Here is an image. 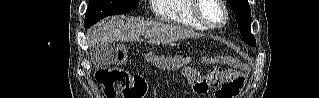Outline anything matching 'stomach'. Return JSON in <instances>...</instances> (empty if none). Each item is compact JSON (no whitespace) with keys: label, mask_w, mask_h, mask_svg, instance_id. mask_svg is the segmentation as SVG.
<instances>
[{"label":"stomach","mask_w":319,"mask_h":98,"mask_svg":"<svg viewBox=\"0 0 319 98\" xmlns=\"http://www.w3.org/2000/svg\"><path fill=\"white\" fill-rule=\"evenodd\" d=\"M184 75L187 77L188 82L192 86V92L198 94L197 91H199L200 84H198L199 82L196 76H193L188 70L185 71Z\"/></svg>","instance_id":"0dacf381"}]
</instances>
